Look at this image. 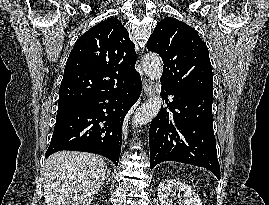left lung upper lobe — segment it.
Returning a JSON list of instances; mask_svg holds the SVG:
<instances>
[{
    "instance_id": "5c2ea615",
    "label": "left lung upper lobe",
    "mask_w": 269,
    "mask_h": 205,
    "mask_svg": "<svg viewBox=\"0 0 269 205\" xmlns=\"http://www.w3.org/2000/svg\"><path fill=\"white\" fill-rule=\"evenodd\" d=\"M147 48L158 53L163 60L162 85L181 94L213 95L208 49L192 27L165 17L156 25Z\"/></svg>"
}]
</instances>
